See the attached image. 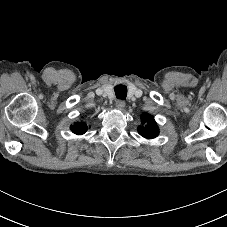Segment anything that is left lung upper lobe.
I'll use <instances>...</instances> for the list:
<instances>
[{"label": "left lung upper lobe", "mask_w": 227, "mask_h": 227, "mask_svg": "<svg viewBox=\"0 0 227 227\" xmlns=\"http://www.w3.org/2000/svg\"><path fill=\"white\" fill-rule=\"evenodd\" d=\"M141 123L144 124V126L138 127V132L140 135L148 139L158 136L159 130L152 116L143 114L141 116Z\"/></svg>", "instance_id": "1"}]
</instances>
